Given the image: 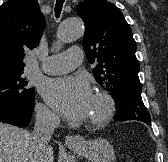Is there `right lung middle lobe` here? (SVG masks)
Listing matches in <instances>:
<instances>
[{
    "label": "right lung middle lobe",
    "mask_w": 168,
    "mask_h": 162,
    "mask_svg": "<svg viewBox=\"0 0 168 162\" xmlns=\"http://www.w3.org/2000/svg\"><path fill=\"white\" fill-rule=\"evenodd\" d=\"M23 72L0 75V102L32 107L34 89L27 86L28 81L22 77Z\"/></svg>",
    "instance_id": "1"
}]
</instances>
